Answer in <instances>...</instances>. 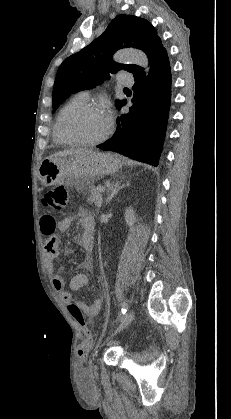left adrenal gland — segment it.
Segmentation results:
<instances>
[{"instance_id":"a2214340","label":"left adrenal gland","mask_w":231,"mask_h":419,"mask_svg":"<svg viewBox=\"0 0 231 419\" xmlns=\"http://www.w3.org/2000/svg\"><path fill=\"white\" fill-rule=\"evenodd\" d=\"M125 186H129V183H127V184H122L121 185V182H116L112 187H111V194H110V196H108L107 197V199H106V204H108L111 200H112V198L114 197V196H116L117 194H118V192L122 189V188H124Z\"/></svg>"}]
</instances>
